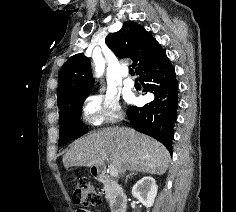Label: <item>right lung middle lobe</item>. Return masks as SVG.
Segmentation results:
<instances>
[{
    "instance_id": "1",
    "label": "right lung middle lobe",
    "mask_w": 236,
    "mask_h": 212,
    "mask_svg": "<svg viewBox=\"0 0 236 212\" xmlns=\"http://www.w3.org/2000/svg\"><path fill=\"white\" fill-rule=\"evenodd\" d=\"M87 96L85 95L75 99L70 105L59 111V146L86 134L87 129L83 126L80 118L82 105Z\"/></svg>"
}]
</instances>
